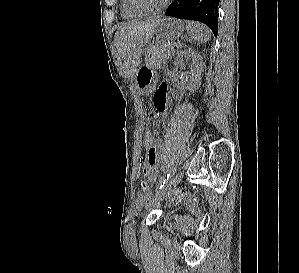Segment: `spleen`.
Instances as JSON below:
<instances>
[{
	"label": "spleen",
	"mask_w": 299,
	"mask_h": 273,
	"mask_svg": "<svg viewBox=\"0 0 299 273\" xmlns=\"http://www.w3.org/2000/svg\"><path fill=\"white\" fill-rule=\"evenodd\" d=\"M188 35L199 43H206L211 39V32L205 25L188 21L186 25Z\"/></svg>",
	"instance_id": "3e777b00"
}]
</instances>
